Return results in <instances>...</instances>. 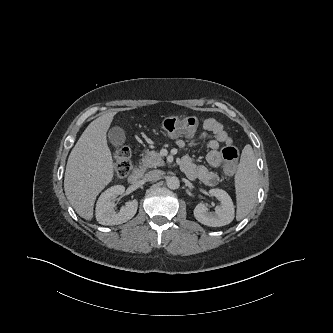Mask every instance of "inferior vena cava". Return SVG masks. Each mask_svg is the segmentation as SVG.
I'll use <instances>...</instances> for the list:
<instances>
[{"mask_svg":"<svg viewBox=\"0 0 333 333\" xmlns=\"http://www.w3.org/2000/svg\"><path fill=\"white\" fill-rule=\"evenodd\" d=\"M162 175V171L160 170H152L145 174L144 178L147 181H152L158 179Z\"/></svg>","mask_w":333,"mask_h":333,"instance_id":"602c4592","label":"inferior vena cava"}]
</instances>
